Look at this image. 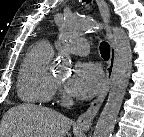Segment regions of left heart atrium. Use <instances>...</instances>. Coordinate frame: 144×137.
<instances>
[{
	"mask_svg": "<svg viewBox=\"0 0 144 137\" xmlns=\"http://www.w3.org/2000/svg\"><path fill=\"white\" fill-rule=\"evenodd\" d=\"M103 74L93 62L79 63L67 81V89L77 98L93 97L102 87Z\"/></svg>",
	"mask_w": 144,
	"mask_h": 137,
	"instance_id": "1",
	"label": "left heart atrium"
}]
</instances>
